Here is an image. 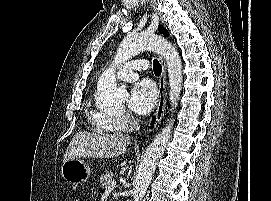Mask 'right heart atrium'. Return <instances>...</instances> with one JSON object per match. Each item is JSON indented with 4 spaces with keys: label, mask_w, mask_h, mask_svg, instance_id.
I'll list each match as a JSON object with an SVG mask.
<instances>
[{
    "label": "right heart atrium",
    "mask_w": 271,
    "mask_h": 201,
    "mask_svg": "<svg viewBox=\"0 0 271 201\" xmlns=\"http://www.w3.org/2000/svg\"><path fill=\"white\" fill-rule=\"evenodd\" d=\"M110 123L118 126L120 129H131L136 123V119L129 113H123L116 117H108Z\"/></svg>",
    "instance_id": "right-heart-atrium-1"
}]
</instances>
